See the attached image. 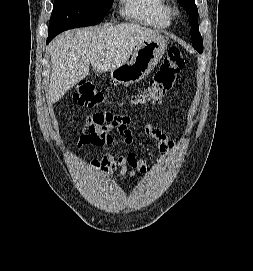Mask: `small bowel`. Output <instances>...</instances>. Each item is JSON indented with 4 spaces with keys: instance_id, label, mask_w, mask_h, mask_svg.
<instances>
[{
    "instance_id": "1",
    "label": "small bowel",
    "mask_w": 253,
    "mask_h": 271,
    "mask_svg": "<svg viewBox=\"0 0 253 271\" xmlns=\"http://www.w3.org/2000/svg\"><path fill=\"white\" fill-rule=\"evenodd\" d=\"M133 119L126 115H116L109 112L94 113L86 119L82 134L77 145L105 146L113 141V134H120L125 143L133 142ZM144 135L156 142L162 157L154 165L157 167L162 161L176 151L175 141L161 128L155 124L147 125L144 128ZM90 168L94 172L107 173L119 168L120 175H135L146 170L144 159L134 152L123 154H104L90 162Z\"/></svg>"
}]
</instances>
